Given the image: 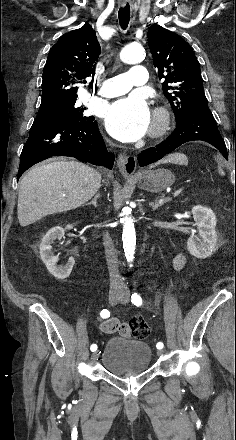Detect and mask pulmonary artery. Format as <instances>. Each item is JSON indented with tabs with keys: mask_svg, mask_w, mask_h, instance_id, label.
I'll return each instance as SVG.
<instances>
[{
	"mask_svg": "<svg viewBox=\"0 0 236 440\" xmlns=\"http://www.w3.org/2000/svg\"><path fill=\"white\" fill-rule=\"evenodd\" d=\"M147 80V69L142 65H135L125 73L106 79L99 94L104 97L123 95L134 87L144 86Z\"/></svg>",
	"mask_w": 236,
	"mask_h": 440,
	"instance_id": "1",
	"label": "pulmonary artery"
}]
</instances>
